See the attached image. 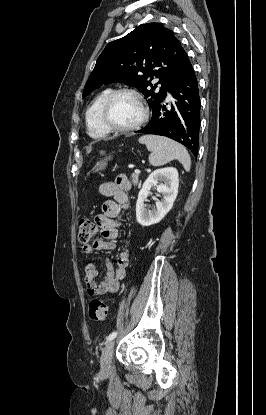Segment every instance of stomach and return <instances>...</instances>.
I'll return each instance as SVG.
<instances>
[{
  "mask_svg": "<svg viewBox=\"0 0 266 415\" xmlns=\"http://www.w3.org/2000/svg\"><path fill=\"white\" fill-rule=\"evenodd\" d=\"M106 165H107V160H104V161H100V162H98L96 165H95V167H94V171L96 172V171H99V170H102V169H104L105 167H106Z\"/></svg>",
  "mask_w": 266,
  "mask_h": 415,
  "instance_id": "obj_1",
  "label": "stomach"
}]
</instances>
